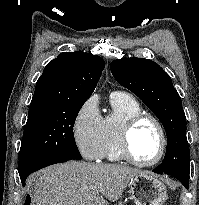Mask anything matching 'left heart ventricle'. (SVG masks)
Listing matches in <instances>:
<instances>
[{
    "mask_svg": "<svg viewBox=\"0 0 199 205\" xmlns=\"http://www.w3.org/2000/svg\"><path fill=\"white\" fill-rule=\"evenodd\" d=\"M130 147L133 156L141 162L154 160L160 150V136L156 126L143 121L133 130Z\"/></svg>",
    "mask_w": 199,
    "mask_h": 205,
    "instance_id": "obj_1",
    "label": "left heart ventricle"
}]
</instances>
